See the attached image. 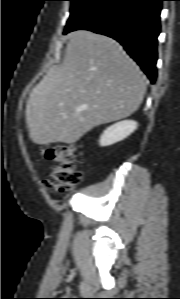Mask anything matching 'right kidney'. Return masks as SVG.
Listing matches in <instances>:
<instances>
[{
    "label": "right kidney",
    "mask_w": 180,
    "mask_h": 299,
    "mask_svg": "<svg viewBox=\"0 0 180 299\" xmlns=\"http://www.w3.org/2000/svg\"><path fill=\"white\" fill-rule=\"evenodd\" d=\"M138 127L133 120H124L108 127L100 137V146H109L127 138Z\"/></svg>",
    "instance_id": "obj_1"
}]
</instances>
